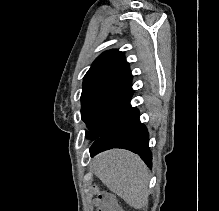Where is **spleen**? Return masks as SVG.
Returning <instances> with one entry per match:
<instances>
[{
  "mask_svg": "<svg viewBox=\"0 0 219 211\" xmlns=\"http://www.w3.org/2000/svg\"><path fill=\"white\" fill-rule=\"evenodd\" d=\"M91 167L95 175L129 205L135 209L148 205L149 169L139 155L128 149H109L98 153Z\"/></svg>",
  "mask_w": 219,
  "mask_h": 211,
  "instance_id": "3e777b00",
  "label": "spleen"
}]
</instances>
